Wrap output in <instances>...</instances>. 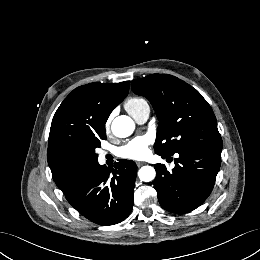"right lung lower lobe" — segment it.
Here are the masks:
<instances>
[{
  "mask_svg": "<svg viewBox=\"0 0 260 260\" xmlns=\"http://www.w3.org/2000/svg\"><path fill=\"white\" fill-rule=\"evenodd\" d=\"M110 171L96 164L64 193L68 202L85 218L99 225L123 221L133 207L137 166L130 160L115 162Z\"/></svg>",
  "mask_w": 260,
  "mask_h": 260,
  "instance_id": "98d812e1",
  "label": "right lung lower lobe"
}]
</instances>
